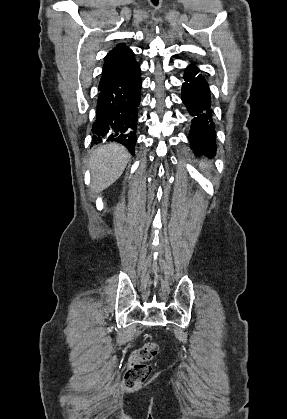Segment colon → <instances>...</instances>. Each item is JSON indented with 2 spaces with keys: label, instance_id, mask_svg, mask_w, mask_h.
<instances>
[{
  "label": "colon",
  "instance_id": "5ec220e1",
  "mask_svg": "<svg viewBox=\"0 0 287 419\" xmlns=\"http://www.w3.org/2000/svg\"><path fill=\"white\" fill-rule=\"evenodd\" d=\"M157 352L158 347L156 344L146 343L132 353L124 376L126 389H137L146 382L151 372L149 362L155 358Z\"/></svg>",
  "mask_w": 287,
  "mask_h": 419
}]
</instances>
